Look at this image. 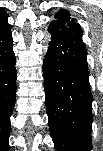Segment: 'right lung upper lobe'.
<instances>
[{
  "label": "right lung upper lobe",
  "mask_w": 103,
  "mask_h": 151,
  "mask_svg": "<svg viewBox=\"0 0 103 151\" xmlns=\"http://www.w3.org/2000/svg\"><path fill=\"white\" fill-rule=\"evenodd\" d=\"M5 25H7L6 21L1 22L0 29L3 28Z\"/></svg>",
  "instance_id": "cb5924a9"
}]
</instances>
